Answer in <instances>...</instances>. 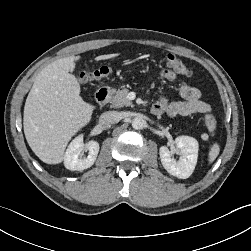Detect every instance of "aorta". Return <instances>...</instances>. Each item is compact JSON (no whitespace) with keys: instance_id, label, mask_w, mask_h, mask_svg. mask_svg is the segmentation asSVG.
I'll list each match as a JSON object with an SVG mask.
<instances>
[{"instance_id":"obj_1","label":"aorta","mask_w":251,"mask_h":251,"mask_svg":"<svg viewBox=\"0 0 251 251\" xmlns=\"http://www.w3.org/2000/svg\"><path fill=\"white\" fill-rule=\"evenodd\" d=\"M131 125L135 130H140L144 128L145 121L141 117H135L132 120Z\"/></svg>"}]
</instances>
